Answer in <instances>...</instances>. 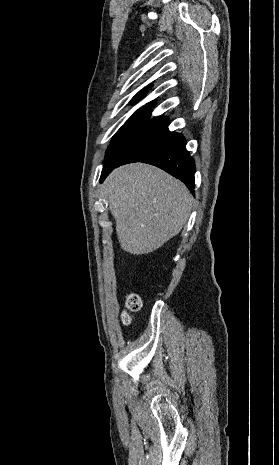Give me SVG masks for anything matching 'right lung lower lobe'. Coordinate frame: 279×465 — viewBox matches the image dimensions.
Segmentation results:
<instances>
[{"label": "right lung lower lobe", "mask_w": 279, "mask_h": 465, "mask_svg": "<svg viewBox=\"0 0 279 465\" xmlns=\"http://www.w3.org/2000/svg\"><path fill=\"white\" fill-rule=\"evenodd\" d=\"M185 145V139L180 135L179 141L174 146L142 162L155 165L175 176L183 181L190 191L194 193L195 164L193 158L186 150ZM115 167L118 166L111 165L103 167L100 181L102 182Z\"/></svg>", "instance_id": "1"}]
</instances>
